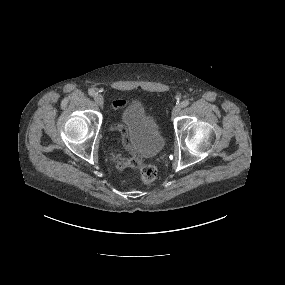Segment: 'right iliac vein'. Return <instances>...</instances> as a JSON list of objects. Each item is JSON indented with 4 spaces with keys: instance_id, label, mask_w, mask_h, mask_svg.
Masks as SVG:
<instances>
[{
    "instance_id": "obj_1",
    "label": "right iliac vein",
    "mask_w": 285,
    "mask_h": 285,
    "mask_svg": "<svg viewBox=\"0 0 285 285\" xmlns=\"http://www.w3.org/2000/svg\"><path fill=\"white\" fill-rule=\"evenodd\" d=\"M95 103L99 106H103L104 104V98L101 95H96L94 97Z\"/></svg>"
}]
</instances>
